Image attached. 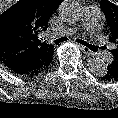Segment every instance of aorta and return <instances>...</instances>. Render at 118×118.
<instances>
[{
    "mask_svg": "<svg viewBox=\"0 0 118 118\" xmlns=\"http://www.w3.org/2000/svg\"><path fill=\"white\" fill-rule=\"evenodd\" d=\"M59 13L62 20L68 23H75L79 21L82 16L81 7L75 1H66L63 3ZM87 66L89 71L96 75H102L107 71L106 63L99 57L91 58Z\"/></svg>",
    "mask_w": 118,
    "mask_h": 118,
    "instance_id": "762f6f07",
    "label": "aorta"
}]
</instances>
